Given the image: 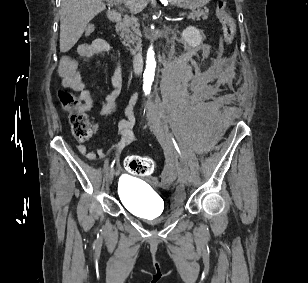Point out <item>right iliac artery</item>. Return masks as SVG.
Here are the masks:
<instances>
[{
  "mask_svg": "<svg viewBox=\"0 0 308 283\" xmlns=\"http://www.w3.org/2000/svg\"><path fill=\"white\" fill-rule=\"evenodd\" d=\"M114 163H115V160L112 162V164H111V169L113 168V166H114Z\"/></svg>",
  "mask_w": 308,
  "mask_h": 283,
  "instance_id": "obj_1",
  "label": "right iliac artery"
}]
</instances>
